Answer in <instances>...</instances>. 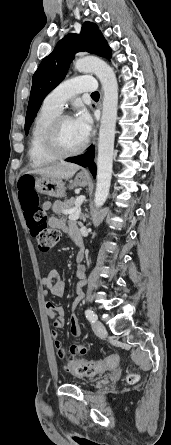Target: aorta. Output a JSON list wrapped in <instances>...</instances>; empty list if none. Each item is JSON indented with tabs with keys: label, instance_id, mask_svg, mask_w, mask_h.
I'll use <instances>...</instances> for the list:
<instances>
[{
	"label": "aorta",
	"instance_id": "762f6f07",
	"mask_svg": "<svg viewBox=\"0 0 171 445\" xmlns=\"http://www.w3.org/2000/svg\"><path fill=\"white\" fill-rule=\"evenodd\" d=\"M79 72H92L100 80L104 91L103 108L98 140L97 184L94 202L101 207L109 195L113 154L115 126L118 110V83L113 69L103 60L95 57H85L75 62Z\"/></svg>",
	"mask_w": 171,
	"mask_h": 445
}]
</instances>
